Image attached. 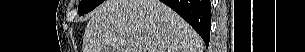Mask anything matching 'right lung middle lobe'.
<instances>
[{"mask_svg": "<svg viewBox=\"0 0 305 52\" xmlns=\"http://www.w3.org/2000/svg\"><path fill=\"white\" fill-rule=\"evenodd\" d=\"M103 1L104 0H81L79 4V15L81 16L87 12H90Z\"/></svg>", "mask_w": 305, "mask_h": 52, "instance_id": "1", "label": "right lung middle lobe"}]
</instances>
